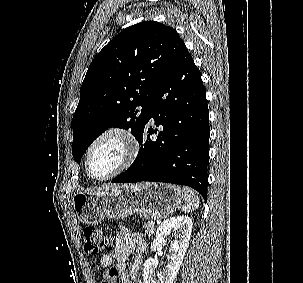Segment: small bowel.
I'll list each match as a JSON object with an SVG mask.
<instances>
[{"label":"small bowel","instance_id":"obj_1","mask_svg":"<svg viewBox=\"0 0 303 283\" xmlns=\"http://www.w3.org/2000/svg\"><path fill=\"white\" fill-rule=\"evenodd\" d=\"M147 246L138 232L121 230L115 240L113 251L101 257V265L104 268H113L118 271L115 280L107 278L108 283H115L119 279L120 283H142L138 278V272L143 262ZM134 253V258L127 265V260ZM131 281V282H130Z\"/></svg>","mask_w":303,"mask_h":283}]
</instances>
